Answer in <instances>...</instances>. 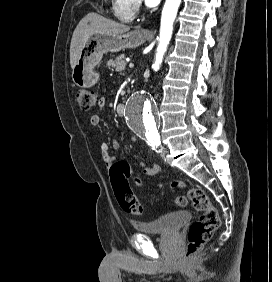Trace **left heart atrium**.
Instances as JSON below:
<instances>
[{
	"instance_id": "39dd6f15",
	"label": "left heart atrium",
	"mask_w": 272,
	"mask_h": 282,
	"mask_svg": "<svg viewBox=\"0 0 272 282\" xmlns=\"http://www.w3.org/2000/svg\"><path fill=\"white\" fill-rule=\"evenodd\" d=\"M160 0H144V3L149 6V7H154L156 6Z\"/></svg>"
}]
</instances>
